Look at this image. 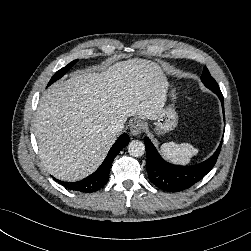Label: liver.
Segmentation results:
<instances>
[{
	"instance_id": "1",
	"label": "liver",
	"mask_w": 251,
	"mask_h": 251,
	"mask_svg": "<svg viewBox=\"0 0 251 251\" xmlns=\"http://www.w3.org/2000/svg\"><path fill=\"white\" fill-rule=\"evenodd\" d=\"M168 88L161 67L139 58L54 83L40 99L34 124L45 168L64 181L93 173L116 140L111 123L130 116L156 120Z\"/></svg>"
}]
</instances>
